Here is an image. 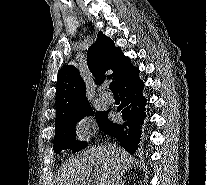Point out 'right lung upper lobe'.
<instances>
[{"label":"right lung upper lobe","instance_id":"right-lung-upper-lobe-1","mask_svg":"<svg viewBox=\"0 0 207 185\" xmlns=\"http://www.w3.org/2000/svg\"><path fill=\"white\" fill-rule=\"evenodd\" d=\"M88 68L100 85L105 79V72L113 73L116 85L139 71L130 59L115 47L111 38L99 32L97 41L90 46L87 54ZM92 111L86 98L85 83L73 65H65L58 73L56 85V121L55 128L67 124L73 118Z\"/></svg>","mask_w":207,"mask_h":185}]
</instances>
